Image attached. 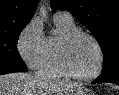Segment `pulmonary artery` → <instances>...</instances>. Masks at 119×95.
Segmentation results:
<instances>
[{"mask_svg": "<svg viewBox=\"0 0 119 95\" xmlns=\"http://www.w3.org/2000/svg\"><path fill=\"white\" fill-rule=\"evenodd\" d=\"M54 19L67 21V22H72L73 21L72 15L69 12H66V11H57L54 14Z\"/></svg>", "mask_w": 119, "mask_h": 95, "instance_id": "obj_1", "label": "pulmonary artery"}]
</instances>
